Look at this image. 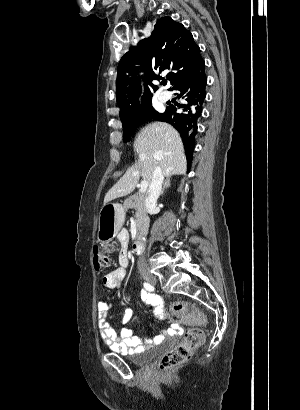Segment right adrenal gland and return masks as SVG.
Here are the masks:
<instances>
[{
	"mask_svg": "<svg viewBox=\"0 0 300 410\" xmlns=\"http://www.w3.org/2000/svg\"><path fill=\"white\" fill-rule=\"evenodd\" d=\"M168 187H170V176L166 177L160 195H163L165 189H167Z\"/></svg>",
	"mask_w": 300,
	"mask_h": 410,
	"instance_id": "right-adrenal-gland-1",
	"label": "right adrenal gland"
}]
</instances>
